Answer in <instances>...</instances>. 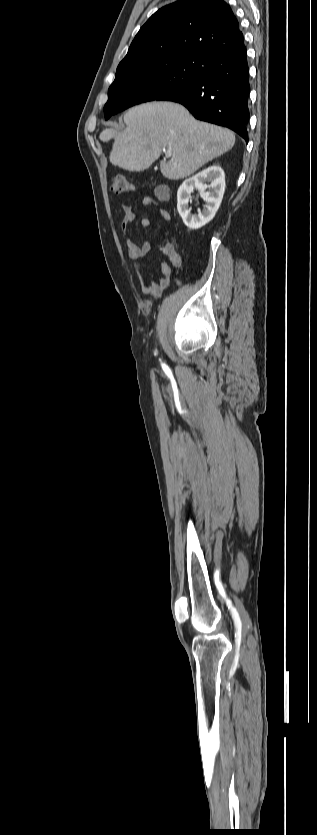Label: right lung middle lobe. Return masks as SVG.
I'll use <instances>...</instances> for the list:
<instances>
[{"label":"right lung middle lobe","mask_w":317,"mask_h":835,"mask_svg":"<svg viewBox=\"0 0 317 835\" xmlns=\"http://www.w3.org/2000/svg\"><path fill=\"white\" fill-rule=\"evenodd\" d=\"M201 63L196 57L142 68L115 76L104 106L105 118L133 105L157 100L160 96L200 78Z\"/></svg>","instance_id":"dd1d6c3e"}]
</instances>
